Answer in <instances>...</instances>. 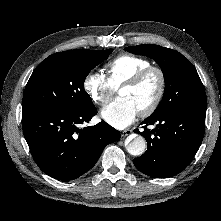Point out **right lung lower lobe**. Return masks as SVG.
Returning a JSON list of instances; mask_svg holds the SVG:
<instances>
[{"label": "right lung lower lobe", "instance_id": "right-lung-lower-lobe-1", "mask_svg": "<svg viewBox=\"0 0 221 221\" xmlns=\"http://www.w3.org/2000/svg\"><path fill=\"white\" fill-rule=\"evenodd\" d=\"M97 114L96 107L72 112L22 110V128L39 168L58 180L76 179L90 170L106 145L120 138L105 122L80 128Z\"/></svg>", "mask_w": 221, "mask_h": 221}]
</instances>
